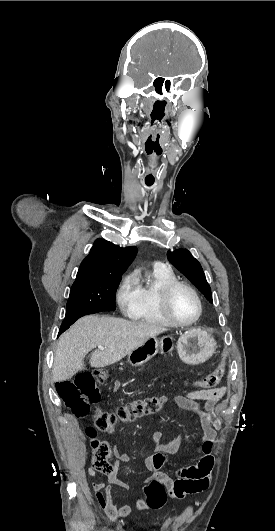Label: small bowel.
<instances>
[{
  "label": "small bowel",
  "mask_w": 275,
  "mask_h": 531,
  "mask_svg": "<svg viewBox=\"0 0 275 531\" xmlns=\"http://www.w3.org/2000/svg\"><path fill=\"white\" fill-rule=\"evenodd\" d=\"M117 390L122 388L120 383L115 385ZM227 393L225 386L209 389L194 390L174 397V404L181 409L194 411L199 415L200 426L203 432L202 438L191 456L198 457L196 465L187 466L180 470L177 478H171L161 471L164 459L167 454H173L180 445V438L177 437L169 443L162 441L160 431H154L151 439L154 444V453L144 459V465L150 472L151 477L163 483L168 494L175 499H184L190 494H196L205 490L211 479V473L215 464L213 455L214 443L217 431L221 427V419L217 409V403L222 400ZM202 402V404L200 403ZM99 445L94 440L92 446ZM116 463H127L130 460L128 453H121L114 448ZM88 475L97 477L93 468L87 470ZM128 489L129 485L121 480L117 473L113 471L107 475L106 481L92 483L95 499L99 507L111 520L127 518L131 514V507L126 503H116L113 498L112 489ZM135 507L138 511L144 512L149 509L146 500L135 499Z\"/></svg>",
  "instance_id": "obj_1"
}]
</instances>
